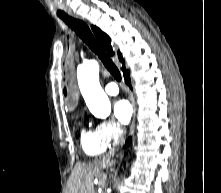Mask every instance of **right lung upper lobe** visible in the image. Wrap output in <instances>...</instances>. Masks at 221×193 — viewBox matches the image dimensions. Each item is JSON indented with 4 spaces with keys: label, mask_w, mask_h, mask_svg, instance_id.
<instances>
[{
    "label": "right lung upper lobe",
    "mask_w": 221,
    "mask_h": 193,
    "mask_svg": "<svg viewBox=\"0 0 221 193\" xmlns=\"http://www.w3.org/2000/svg\"><path fill=\"white\" fill-rule=\"evenodd\" d=\"M92 30L96 36V38L98 39V41L101 43V45L105 48V50L110 54V55H113L114 52L112 50V47H111V40L110 38L104 33L102 32L99 28L95 27V26H92ZM118 57H119V60L121 62H123V67H122V71L123 73L127 72L125 70V67H124V60L122 58V55L120 52H118Z\"/></svg>",
    "instance_id": "1"
}]
</instances>
